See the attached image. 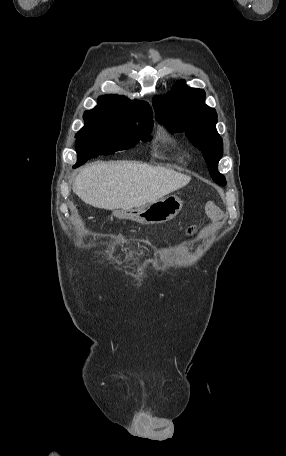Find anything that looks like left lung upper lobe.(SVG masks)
<instances>
[{
    "label": "left lung upper lobe",
    "mask_w": 286,
    "mask_h": 456,
    "mask_svg": "<svg viewBox=\"0 0 286 456\" xmlns=\"http://www.w3.org/2000/svg\"><path fill=\"white\" fill-rule=\"evenodd\" d=\"M152 104L156 121L173 133L185 132L190 142L202 152L213 180L224 186L225 177L217 170L223 154L222 138L215 127L216 111L205 104V92L189 88L181 81L169 94L155 96Z\"/></svg>",
    "instance_id": "5c2ea615"
}]
</instances>
